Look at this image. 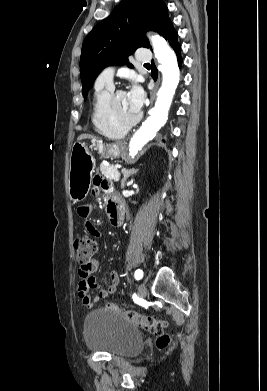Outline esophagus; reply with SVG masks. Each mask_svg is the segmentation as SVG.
Instances as JSON below:
<instances>
[{
    "label": "esophagus",
    "instance_id": "34e87169",
    "mask_svg": "<svg viewBox=\"0 0 267 391\" xmlns=\"http://www.w3.org/2000/svg\"><path fill=\"white\" fill-rule=\"evenodd\" d=\"M158 85H159V83L156 85L155 89L151 93V103H153V101L155 99V95H156V91H157Z\"/></svg>",
    "mask_w": 267,
    "mask_h": 391
}]
</instances>
